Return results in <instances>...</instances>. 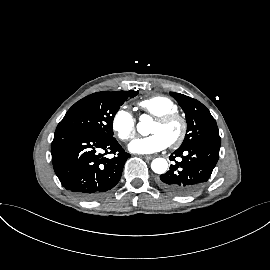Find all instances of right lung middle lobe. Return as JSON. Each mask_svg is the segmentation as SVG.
<instances>
[{"label": "right lung middle lobe", "mask_w": 270, "mask_h": 270, "mask_svg": "<svg viewBox=\"0 0 270 270\" xmlns=\"http://www.w3.org/2000/svg\"><path fill=\"white\" fill-rule=\"evenodd\" d=\"M138 91L93 93L75 103L58 124L56 131H81L104 140L113 138V119L120 106Z\"/></svg>", "instance_id": "dd1d6c3e"}]
</instances>
